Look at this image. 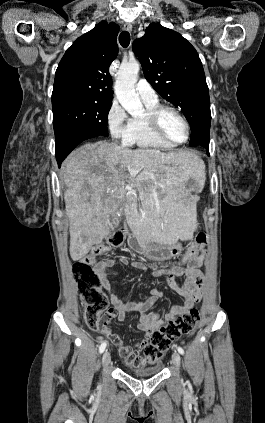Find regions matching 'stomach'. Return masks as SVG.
Returning a JSON list of instances; mask_svg holds the SVG:
<instances>
[{
    "label": "stomach",
    "mask_w": 265,
    "mask_h": 423,
    "mask_svg": "<svg viewBox=\"0 0 265 423\" xmlns=\"http://www.w3.org/2000/svg\"><path fill=\"white\" fill-rule=\"evenodd\" d=\"M142 253L150 260L163 261L178 256L182 251L180 243L156 244L154 242L139 241Z\"/></svg>",
    "instance_id": "1"
}]
</instances>
